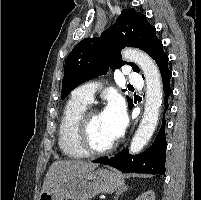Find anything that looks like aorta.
<instances>
[{
	"mask_svg": "<svg viewBox=\"0 0 201 200\" xmlns=\"http://www.w3.org/2000/svg\"><path fill=\"white\" fill-rule=\"evenodd\" d=\"M123 58L137 64L146 81L145 108L141 123L131 141L130 153H138L152 137L159 119L162 104V80L159 68L153 59L137 49H125Z\"/></svg>",
	"mask_w": 201,
	"mask_h": 200,
	"instance_id": "aorta-1",
	"label": "aorta"
}]
</instances>
